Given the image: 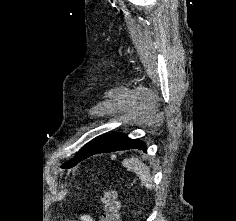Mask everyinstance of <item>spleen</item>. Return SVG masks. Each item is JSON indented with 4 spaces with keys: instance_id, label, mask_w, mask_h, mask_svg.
Listing matches in <instances>:
<instances>
[{
    "instance_id": "obj_1",
    "label": "spleen",
    "mask_w": 236,
    "mask_h": 221,
    "mask_svg": "<svg viewBox=\"0 0 236 221\" xmlns=\"http://www.w3.org/2000/svg\"><path fill=\"white\" fill-rule=\"evenodd\" d=\"M123 165L127 167L129 171L135 172L144 186L148 189L153 187V179L150 174V170L148 166H146L143 162H141L137 158H130L123 161Z\"/></svg>"
}]
</instances>
